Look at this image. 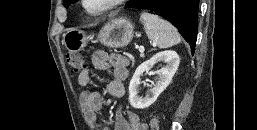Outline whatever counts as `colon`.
I'll return each mask as SVG.
<instances>
[{
  "instance_id": "1",
  "label": "colon",
  "mask_w": 257,
  "mask_h": 130,
  "mask_svg": "<svg viewBox=\"0 0 257 130\" xmlns=\"http://www.w3.org/2000/svg\"><path fill=\"white\" fill-rule=\"evenodd\" d=\"M67 63L75 72H81L85 68L84 58L77 53H69L67 55ZM160 119L155 116L150 121V130H160Z\"/></svg>"
}]
</instances>
